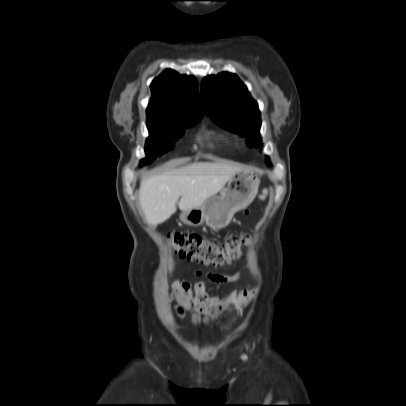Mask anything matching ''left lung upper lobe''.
Here are the masks:
<instances>
[{
  "label": "left lung upper lobe",
  "instance_id": "obj_1",
  "mask_svg": "<svg viewBox=\"0 0 406 406\" xmlns=\"http://www.w3.org/2000/svg\"><path fill=\"white\" fill-rule=\"evenodd\" d=\"M201 97L207 115L223 128L246 135L249 147L262 144L257 103L235 74L223 72L202 81Z\"/></svg>",
  "mask_w": 406,
  "mask_h": 406
}]
</instances>
